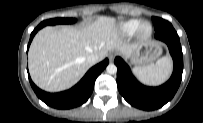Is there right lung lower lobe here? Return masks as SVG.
Returning a JSON list of instances; mask_svg holds the SVG:
<instances>
[{
    "mask_svg": "<svg viewBox=\"0 0 203 123\" xmlns=\"http://www.w3.org/2000/svg\"><path fill=\"white\" fill-rule=\"evenodd\" d=\"M42 27L38 25L34 31L31 33L29 45L35 36V34L40 30ZM109 60L105 59L104 61L100 62L99 64L92 67L85 76L77 83L74 87L67 91L59 92V93H48L41 89H39L31 80L29 74V81L30 84L38 96L44 103L48 106L57 108V109H70L82 105L85 103L94 89V83L96 78L99 74L105 69L108 65Z\"/></svg>",
    "mask_w": 203,
    "mask_h": 123,
    "instance_id": "right-lung-lower-lobe-1",
    "label": "right lung lower lobe"
}]
</instances>
